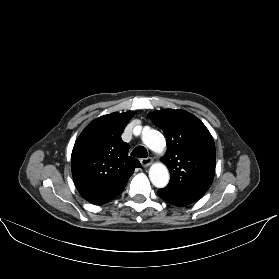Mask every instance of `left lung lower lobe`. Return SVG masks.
<instances>
[{
  "label": "left lung lower lobe",
  "mask_w": 279,
  "mask_h": 279,
  "mask_svg": "<svg viewBox=\"0 0 279 279\" xmlns=\"http://www.w3.org/2000/svg\"><path fill=\"white\" fill-rule=\"evenodd\" d=\"M158 195L160 196V198H162L166 202H168L172 205H175V206H186V205L193 203V202L185 200V199H180V198L166 195V194L162 193L160 190L158 191Z\"/></svg>",
  "instance_id": "left-lung-lower-lobe-1"
}]
</instances>
